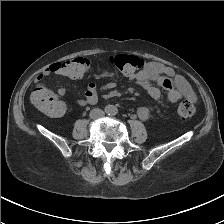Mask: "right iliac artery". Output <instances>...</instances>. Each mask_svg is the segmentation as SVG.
Returning <instances> with one entry per match:
<instances>
[{
  "label": "right iliac artery",
  "mask_w": 224,
  "mask_h": 224,
  "mask_svg": "<svg viewBox=\"0 0 224 224\" xmlns=\"http://www.w3.org/2000/svg\"><path fill=\"white\" fill-rule=\"evenodd\" d=\"M109 110H110L109 107H106V108H105V111H106V112H109Z\"/></svg>",
  "instance_id": "1"
}]
</instances>
